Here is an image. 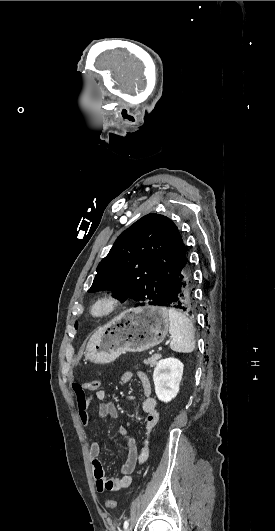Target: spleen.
Masks as SVG:
<instances>
[{"label": "spleen", "mask_w": 275, "mask_h": 531, "mask_svg": "<svg viewBox=\"0 0 275 531\" xmlns=\"http://www.w3.org/2000/svg\"><path fill=\"white\" fill-rule=\"evenodd\" d=\"M169 333L172 335L170 349L176 353H192L195 349L194 327L192 321L176 309H168Z\"/></svg>", "instance_id": "3e777b00"}]
</instances>
